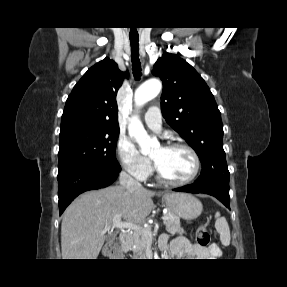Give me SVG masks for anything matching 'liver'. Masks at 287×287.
Here are the masks:
<instances>
[{
    "label": "liver",
    "mask_w": 287,
    "mask_h": 287,
    "mask_svg": "<svg viewBox=\"0 0 287 287\" xmlns=\"http://www.w3.org/2000/svg\"><path fill=\"white\" fill-rule=\"evenodd\" d=\"M155 192L109 186L76 198L65 210L61 224L63 259H97L106 240V226L120 216L126 222L143 223L153 208Z\"/></svg>",
    "instance_id": "liver-1"
}]
</instances>
